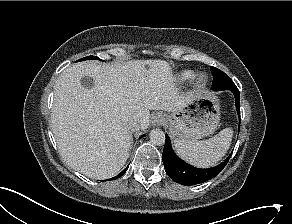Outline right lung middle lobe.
Returning a JSON list of instances; mask_svg holds the SVG:
<instances>
[{"instance_id":"1","label":"right lung middle lobe","mask_w":292,"mask_h":224,"mask_svg":"<svg viewBox=\"0 0 292 224\" xmlns=\"http://www.w3.org/2000/svg\"><path fill=\"white\" fill-rule=\"evenodd\" d=\"M87 59H96V60H98L99 58L95 57V56H88V57L82 58V59H80L78 61L87 60Z\"/></svg>"}]
</instances>
